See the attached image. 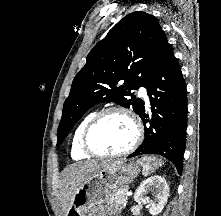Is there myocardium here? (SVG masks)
I'll return each instance as SVG.
<instances>
[{
  "label": "myocardium",
  "instance_id": "f54148a6",
  "mask_svg": "<svg viewBox=\"0 0 221 216\" xmlns=\"http://www.w3.org/2000/svg\"><path fill=\"white\" fill-rule=\"evenodd\" d=\"M112 113H120L126 116L132 123L134 128V139L133 142L124 150L114 153H103L98 152L92 149L89 144V137L93 128L107 115ZM144 129L141 119L129 108L125 106H111L108 108L103 109L102 111L98 112L86 125L83 130L82 137H81V146L82 149L90 156L99 157V158H117L125 156L131 153L141 142L143 137Z\"/></svg>",
  "mask_w": 221,
  "mask_h": 216
}]
</instances>
